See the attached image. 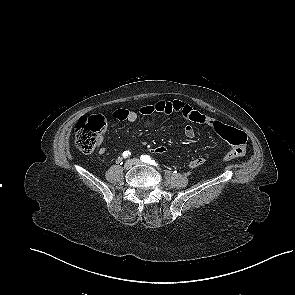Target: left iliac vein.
<instances>
[{"mask_svg": "<svg viewBox=\"0 0 295 295\" xmlns=\"http://www.w3.org/2000/svg\"><path fill=\"white\" fill-rule=\"evenodd\" d=\"M134 165H141L143 162L140 159L134 158L131 160Z\"/></svg>", "mask_w": 295, "mask_h": 295, "instance_id": "left-iliac-vein-1", "label": "left iliac vein"}]
</instances>
